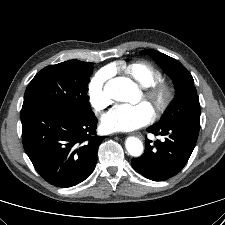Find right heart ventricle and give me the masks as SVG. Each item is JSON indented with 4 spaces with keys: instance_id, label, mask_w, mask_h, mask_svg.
Here are the masks:
<instances>
[{
    "instance_id": "e07e8e85",
    "label": "right heart ventricle",
    "mask_w": 225,
    "mask_h": 225,
    "mask_svg": "<svg viewBox=\"0 0 225 225\" xmlns=\"http://www.w3.org/2000/svg\"><path fill=\"white\" fill-rule=\"evenodd\" d=\"M114 69H121L142 87H148L162 80L161 72L145 61L131 62L123 67L115 66Z\"/></svg>"
}]
</instances>
